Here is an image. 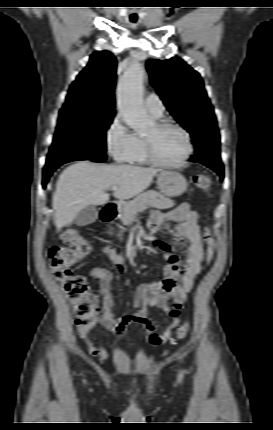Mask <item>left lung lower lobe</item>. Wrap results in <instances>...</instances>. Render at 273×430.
<instances>
[{
  "label": "left lung lower lobe",
  "instance_id": "obj_1",
  "mask_svg": "<svg viewBox=\"0 0 273 430\" xmlns=\"http://www.w3.org/2000/svg\"><path fill=\"white\" fill-rule=\"evenodd\" d=\"M189 161L201 163L217 172L221 179L224 178V168L219 147L206 146L195 155H192Z\"/></svg>",
  "mask_w": 273,
  "mask_h": 430
}]
</instances>
